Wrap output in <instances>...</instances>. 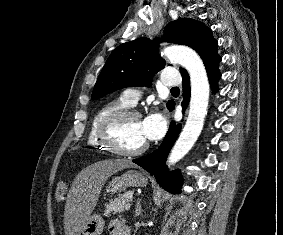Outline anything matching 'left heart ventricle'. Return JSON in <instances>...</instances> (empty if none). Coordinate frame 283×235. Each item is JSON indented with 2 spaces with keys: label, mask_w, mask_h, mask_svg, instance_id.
<instances>
[{
  "label": "left heart ventricle",
  "mask_w": 283,
  "mask_h": 235,
  "mask_svg": "<svg viewBox=\"0 0 283 235\" xmlns=\"http://www.w3.org/2000/svg\"><path fill=\"white\" fill-rule=\"evenodd\" d=\"M140 118H129L122 121L114 130L113 138L117 146L124 150H135L142 146L145 139Z\"/></svg>",
  "instance_id": "obj_1"
}]
</instances>
